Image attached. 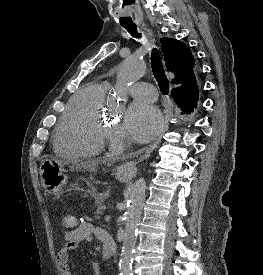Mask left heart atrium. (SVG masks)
<instances>
[{
  "label": "left heart atrium",
  "mask_w": 263,
  "mask_h": 275,
  "mask_svg": "<svg viewBox=\"0 0 263 275\" xmlns=\"http://www.w3.org/2000/svg\"><path fill=\"white\" fill-rule=\"evenodd\" d=\"M163 126V117L157 107L144 102H134L126 112L122 131L130 140L147 142L153 139Z\"/></svg>",
  "instance_id": "1"
}]
</instances>
